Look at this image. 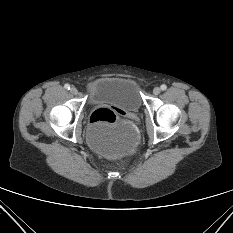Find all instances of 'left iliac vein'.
<instances>
[{
	"label": "left iliac vein",
	"mask_w": 233,
	"mask_h": 233,
	"mask_svg": "<svg viewBox=\"0 0 233 233\" xmlns=\"http://www.w3.org/2000/svg\"><path fill=\"white\" fill-rule=\"evenodd\" d=\"M160 88L159 87H155L154 89H153V94L154 95H158L159 93H160Z\"/></svg>",
	"instance_id": "left-iliac-vein-1"
}]
</instances>
